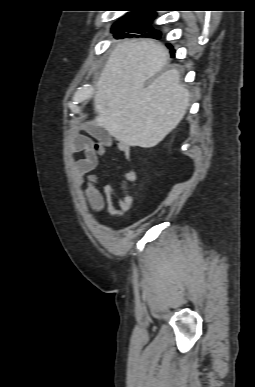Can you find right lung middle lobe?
I'll use <instances>...</instances> for the list:
<instances>
[{
  "mask_svg": "<svg viewBox=\"0 0 255 387\" xmlns=\"http://www.w3.org/2000/svg\"><path fill=\"white\" fill-rule=\"evenodd\" d=\"M154 17V12L130 13L113 25L112 32L117 33L127 31L129 33H144L154 31L156 35H159L160 33L158 31L150 27L151 21ZM122 34L123 33H117L116 35L118 36Z\"/></svg>",
  "mask_w": 255,
  "mask_h": 387,
  "instance_id": "1",
  "label": "right lung middle lobe"
}]
</instances>
